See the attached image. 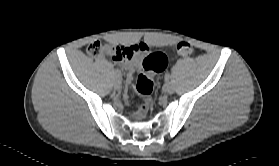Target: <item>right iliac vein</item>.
Wrapping results in <instances>:
<instances>
[{
	"label": "right iliac vein",
	"instance_id": "obj_1",
	"mask_svg": "<svg viewBox=\"0 0 279 166\" xmlns=\"http://www.w3.org/2000/svg\"><path fill=\"white\" fill-rule=\"evenodd\" d=\"M114 88L116 90H119L121 88V79H120V77H116V79L114 81Z\"/></svg>",
	"mask_w": 279,
	"mask_h": 166
}]
</instances>
